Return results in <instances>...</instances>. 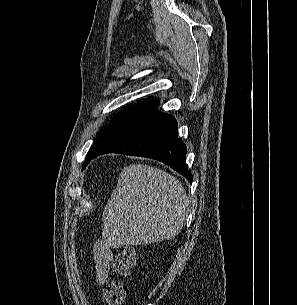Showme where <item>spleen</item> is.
<instances>
[{
	"instance_id": "3e777b00",
	"label": "spleen",
	"mask_w": 297,
	"mask_h": 305,
	"mask_svg": "<svg viewBox=\"0 0 297 305\" xmlns=\"http://www.w3.org/2000/svg\"><path fill=\"white\" fill-rule=\"evenodd\" d=\"M189 199L171 174L131 164L119 175L103 212V233L117 245L160 242L182 229Z\"/></svg>"
}]
</instances>
